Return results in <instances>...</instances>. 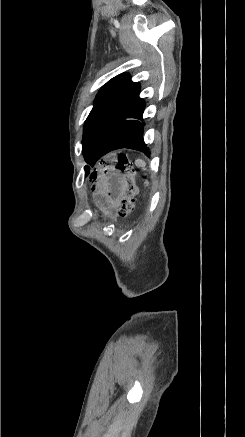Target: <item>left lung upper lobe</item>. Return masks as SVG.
I'll use <instances>...</instances> for the list:
<instances>
[{"label":"left lung upper lobe","mask_w":245,"mask_h":437,"mask_svg":"<svg viewBox=\"0 0 245 437\" xmlns=\"http://www.w3.org/2000/svg\"><path fill=\"white\" fill-rule=\"evenodd\" d=\"M139 92V83L132 82L128 74L112 78L98 92L83 128L82 153L90 166L98 161V154L108 134ZM88 172L89 168H86Z\"/></svg>","instance_id":"left-lung-upper-lobe-1"}]
</instances>
